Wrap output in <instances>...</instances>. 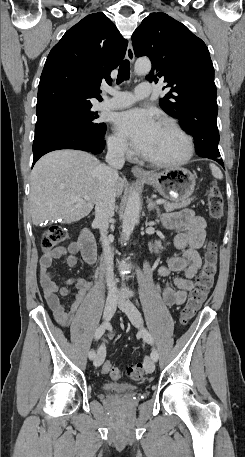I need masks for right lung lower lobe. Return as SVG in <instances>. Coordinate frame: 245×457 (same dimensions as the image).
Listing matches in <instances>:
<instances>
[{"label": "right lung lower lobe", "instance_id": "98d812e1", "mask_svg": "<svg viewBox=\"0 0 245 457\" xmlns=\"http://www.w3.org/2000/svg\"><path fill=\"white\" fill-rule=\"evenodd\" d=\"M105 133V132H104ZM105 146L104 135L96 139L83 129L56 126L35 132L33 164L44 154L60 149H76L99 154Z\"/></svg>", "mask_w": 245, "mask_h": 457}]
</instances>
